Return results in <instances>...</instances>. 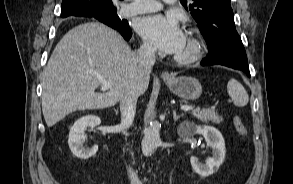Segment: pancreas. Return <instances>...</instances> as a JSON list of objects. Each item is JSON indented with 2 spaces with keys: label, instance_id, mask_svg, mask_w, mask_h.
Wrapping results in <instances>:
<instances>
[{
  "label": "pancreas",
  "instance_id": "pancreas-1",
  "mask_svg": "<svg viewBox=\"0 0 293 184\" xmlns=\"http://www.w3.org/2000/svg\"><path fill=\"white\" fill-rule=\"evenodd\" d=\"M192 115L206 123L210 121L215 124H220L223 121V118L213 109H192Z\"/></svg>",
  "mask_w": 293,
  "mask_h": 184
}]
</instances>
